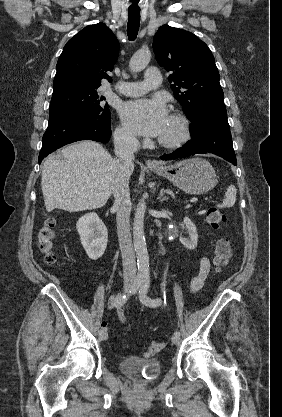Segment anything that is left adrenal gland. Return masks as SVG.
I'll return each mask as SVG.
<instances>
[{
	"instance_id": "obj_1",
	"label": "left adrenal gland",
	"mask_w": 282,
	"mask_h": 417,
	"mask_svg": "<svg viewBox=\"0 0 282 417\" xmlns=\"http://www.w3.org/2000/svg\"><path fill=\"white\" fill-rule=\"evenodd\" d=\"M163 190H164V188H161L160 196H158V198H160L161 202H163V200H168V196H164Z\"/></svg>"
}]
</instances>
